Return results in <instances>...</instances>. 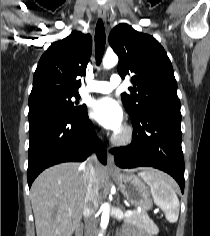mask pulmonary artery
<instances>
[{"instance_id": "e3ab8cb5", "label": "pulmonary artery", "mask_w": 210, "mask_h": 236, "mask_svg": "<svg viewBox=\"0 0 210 236\" xmlns=\"http://www.w3.org/2000/svg\"><path fill=\"white\" fill-rule=\"evenodd\" d=\"M122 80L120 76L113 75L111 76L110 80L107 82H93L87 88L86 92H98V93H109L114 88L120 86Z\"/></svg>"}]
</instances>
